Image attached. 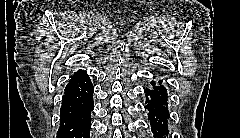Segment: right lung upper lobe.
<instances>
[{
  "mask_svg": "<svg viewBox=\"0 0 240 138\" xmlns=\"http://www.w3.org/2000/svg\"><path fill=\"white\" fill-rule=\"evenodd\" d=\"M84 74H86L85 71L79 70V71H77V72L74 73V75L72 76L71 79L78 78V77H80V76H82V75H84Z\"/></svg>",
  "mask_w": 240,
  "mask_h": 138,
  "instance_id": "cb5924a9",
  "label": "right lung upper lobe"
}]
</instances>
